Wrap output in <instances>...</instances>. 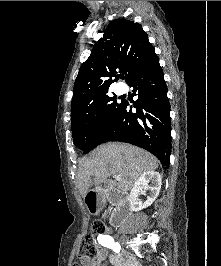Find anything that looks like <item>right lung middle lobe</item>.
I'll return each instance as SVG.
<instances>
[{
  "label": "right lung middle lobe",
  "mask_w": 221,
  "mask_h": 266,
  "mask_svg": "<svg viewBox=\"0 0 221 266\" xmlns=\"http://www.w3.org/2000/svg\"><path fill=\"white\" fill-rule=\"evenodd\" d=\"M123 103H117L116 96L105 93L87 112L71 118L73 142L84 154L98 145L118 117Z\"/></svg>",
  "instance_id": "right-lung-middle-lobe-1"
}]
</instances>
